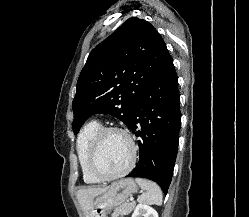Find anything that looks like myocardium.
Returning a JSON list of instances; mask_svg holds the SVG:
<instances>
[{
  "mask_svg": "<svg viewBox=\"0 0 249 217\" xmlns=\"http://www.w3.org/2000/svg\"><path fill=\"white\" fill-rule=\"evenodd\" d=\"M108 133H119L123 135L129 142L131 147V157L128 165L121 170L120 172L114 173V174H105L101 172L97 165H96V158L98 149L101 143V140L103 137ZM137 160V146L135 144V141L133 140L132 136L124 129L119 127H102L94 136L88 153V167L90 172L101 181H110L115 180L118 178H121L125 176L127 173H129L133 167L135 166Z\"/></svg>",
  "mask_w": 249,
  "mask_h": 217,
  "instance_id": "myocardium-1",
  "label": "myocardium"
}]
</instances>
